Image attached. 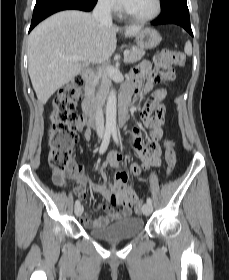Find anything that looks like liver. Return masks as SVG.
<instances>
[{"label": "liver", "instance_id": "obj_1", "mask_svg": "<svg viewBox=\"0 0 229 280\" xmlns=\"http://www.w3.org/2000/svg\"><path fill=\"white\" fill-rule=\"evenodd\" d=\"M141 26L125 28L135 36ZM119 27L97 22L82 11H62L36 26L28 39V72L38 100L45 104L61 87L73 80L89 63L107 62L116 49ZM62 56H80L77 62Z\"/></svg>", "mask_w": 229, "mask_h": 280}]
</instances>
